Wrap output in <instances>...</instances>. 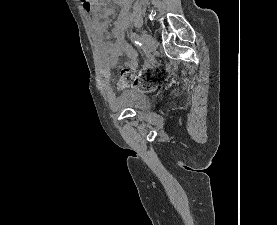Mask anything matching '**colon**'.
Returning <instances> with one entry per match:
<instances>
[{
  "instance_id": "1",
  "label": "colon",
  "mask_w": 277,
  "mask_h": 225,
  "mask_svg": "<svg viewBox=\"0 0 277 225\" xmlns=\"http://www.w3.org/2000/svg\"><path fill=\"white\" fill-rule=\"evenodd\" d=\"M122 75L125 76V84L137 87L142 91L151 92L156 87L155 72L152 69L140 70L136 73L123 70Z\"/></svg>"
}]
</instances>
